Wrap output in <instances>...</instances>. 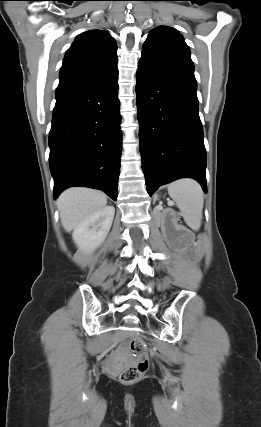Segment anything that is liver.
Wrapping results in <instances>:
<instances>
[{
  "mask_svg": "<svg viewBox=\"0 0 261 427\" xmlns=\"http://www.w3.org/2000/svg\"><path fill=\"white\" fill-rule=\"evenodd\" d=\"M106 204L107 196L101 191L82 187L65 190L57 200L63 228L72 231Z\"/></svg>",
  "mask_w": 261,
  "mask_h": 427,
  "instance_id": "6515ba94",
  "label": "liver"
}]
</instances>
